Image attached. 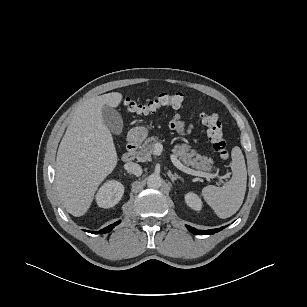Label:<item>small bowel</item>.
<instances>
[{
    "mask_svg": "<svg viewBox=\"0 0 307 307\" xmlns=\"http://www.w3.org/2000/svg\"><path fill=\"white\" fill-rule=\"evenodd\" d=\"M193 126L187 124L180 114H176L169 122V129L175 131L178 135L184 136L191 132Z\"/></svg>",
    "mask_w": 307,
    "mask_h": 307,
    "instance_id": "obj_1",
    "label": "small bowel"
}]
</instances>
